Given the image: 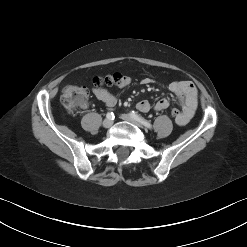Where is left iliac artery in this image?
Masks as SVG:
<instances>
[{"instance_id": "1", "label": "left iliac artery", "mask_w": 247, "mask_h": 247, "mask_svg": "<svg viewBox=\"0 0 247 247\" xmlns=\"http://www.w3.org/2000/svg\"><path fill=\"white\" fill-rule=\"evenodd\" d=\"M130 114L135 120H137L139 123H141L145 127L149 129L152 128V124L148 122L147 120H145L142 116L138 115L136 112L132 111Z\"/></svg>"}]
</instances>
